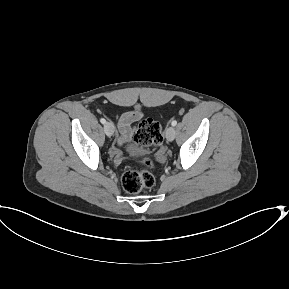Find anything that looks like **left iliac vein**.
Returning <instances> with one entry per match:
<instances>
[{
  "mask_svg": "<svg viewBox=\"0 0 289 289\" xmlns=\"http://www.w3.org/2000/svg\"><path fill=\"white\" fill-rule=\"evenodd\" d=\"M176 135L175 128L173 126H170L166 130V138L168 141H173Z\"/></svg>",
  "mask_w": 289,
  "mask_h": 289,
  "instance_id": "1",
  "label": "left iliac vein"
}]
</instances>
